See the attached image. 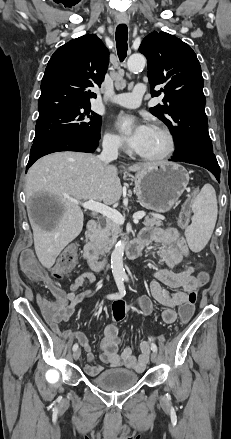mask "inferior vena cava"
Here are the masks:
<instances>
[{"label": "inferior vena cava", "mask_w": 231, "mask_h": 439, "mask_svg": "<svg viewBox=\"0 0 231 439\" xmlns=\"http://www.w3.org/2000/svg\"><path fill=\"white\" fill-rule=\"evenodd\" d=\"M102 153L99 156L100 160L108 164L110 161L116 160L118 157L119 143L114 140H105L102 143Z\"/></svg>", "instance_id": "obj_1"}]
</instances>
